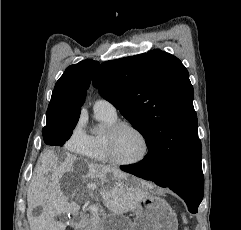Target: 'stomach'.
<instances>
[{
  "instance_id": "0dacf381",
  "label": "stomach",
  "mask_w": 241,
  "mask_h": 230,
  "mask_svg": "<svg viewBox=\"0 0 241 230\" xmlns=\"http://www.w3.org/2000/svg\"><path fill=\"white\" fill-rule=\"evenodd\" d=\"M108 176L110 182L119 180ZM132 213L133 221L111 215L100 223L98 230H178L175 212L163 198L154 194L147 193Z\"/></svg>"
}]
</instances>
